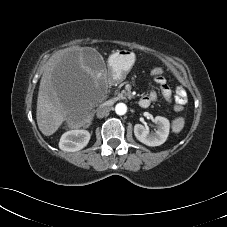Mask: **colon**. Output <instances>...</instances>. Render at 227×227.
Listing matches in <instances>:
<instances>
[{
  "label": "colon",
  "mask_w": 227,
  "mask_h": 227,
  "mask_svg": "<svg viewBox=\"0 0 227 227\" xmlns=\"http://www.w3.org/2000/svg\"><path fill=\"white\" fill-rule=\"evenodd\" d=\"M162 72H163V69L161 67H154L153 69H151L150 75H151V77L156 78L157 76L161 75ZM175 110L176 111H181L182 110V106L176 105L175 106Z\"/></svg>",
  "instance_id": "1"
}]
</instances>
